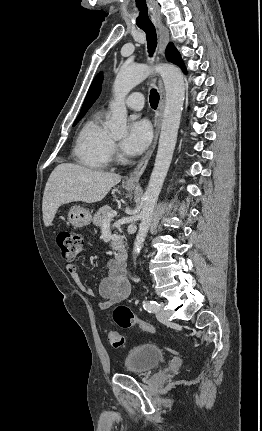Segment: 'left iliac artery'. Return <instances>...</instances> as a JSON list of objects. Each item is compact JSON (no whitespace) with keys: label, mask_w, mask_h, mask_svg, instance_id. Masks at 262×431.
Here are the masks:
<instances>
[{"label":"left iliac artery","mask_w":262,"mask_h":431,"mask_svg":"<svg viewBox=\"0 0 262 431\" xmlns=\"http://www.w3.org/2000/svg\"><path fill=\"white\" fill-rule=\"evenodd\" d=\"M143 307L148 312H155L159 308V304L155 300L143 301Z\"/></svg>","instance_id":"1"}]
</instances>
